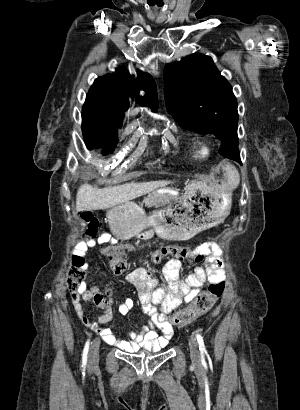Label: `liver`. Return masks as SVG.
Instances as JSON below:
<instances>
[{
  "mask_svg": "<svg viewBox=\"0 0 300 410\" xmlns=\"http://www.w3.org/2000/svg\"><path fill=\"white\" fill-rule=\"evenodd\" d=\"M168 184V181L132 182L102 189L89 184H83L78 189L76 195V209L77 211H93L111 208ZM231 184V181L227 182L226 187L232 189Z\"/></svg>",
  "mask_w": 300,
  "mask_h": 410,
  "instance_id": "6515ba94",
  "label": "liver"
}]
</instances>
